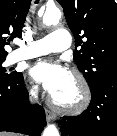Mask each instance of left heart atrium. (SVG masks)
Wrapping results in <instances>:
<instances>
[{
    "label": "left heart atrium",
    "instance_id": "left-heart-atrium-1",
    "mask_svg": "<svg viewBox=\"0 0 117 136\" xmlns=\"http://www.w3.org/2000/svg\"><path fill=\"white\" fill-rule=\"evenodd\" d=\"M30 74L51 96L62 91L68 85L71 77L66 67L58 62L47 60L35 63Z\"/></svg>",
    "mask_w": 117,
    "mask_h": 136
}]
</instances>
